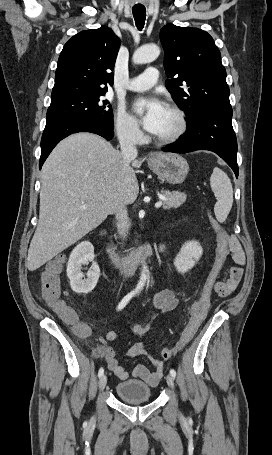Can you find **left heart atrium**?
<instances>
[{
    "mask_svg": "<svg viewBox=\"0 0 272 455\" xmlns=\"http://www.w3.org/2000/svg\"><path fill=\"white\" fill-rule=\"evenodd\" d=\"M133 107L136 111L142 112L143 127L155 134L162 123L166 110L165 104L155 97H140L135 100Z\"/></svg>",
    "mask_w": 272,
    "mask_h": 455,
    "instance_id": "obj_1",
    "label": "left heart atrium"
}]
</instances>
